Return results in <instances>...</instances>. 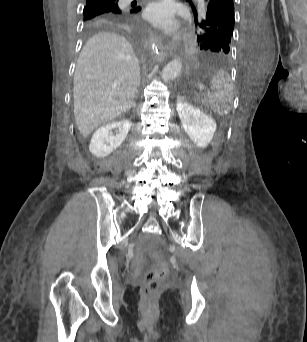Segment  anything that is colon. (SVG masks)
Returning <instances> with one entry per match:
<instances>
[{
  "instance_id": "5ec220e1",
  "label": "colon",
  "mask_w": 307,
  "mask_h": 342,
  "mask_svg": "<svg viewBox=\"0 0 307 342\" xmlns=\"http://www.w3.org/2000/svg\"><path fill=\"white\" fill-rule=\"evenodd\" d=\"M169 266H154V269H146L145 281H142V295H145V307H154L153 295L156 288H160L164 276H168Z\"/></svg>"
}]
</instances>
